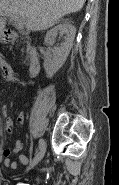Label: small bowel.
<instances>
[{
	"instance_id": "1",
	"label": "small bowel",
	"mask_w": 119,
	"mask_h": 185,
	"mask_svg": "<svg viewBox=\"0 0 119 185\" xmlns=\"http://www.w3.org/2000/svg\"><path fill=\"white\" fill-rule=\"evenodd\" d=\"M0 68L3 74V79L6 82H11V83H15V84H20L23 85L25 84L24 81H22L15 73L14 70L12 68V66L4 59L0 60ZM2 113L4 116V124H3V128L4 131L7 133L12 132L13 129V120L11 119V117L8 115V111H7V107L4 106L2 109ZM18 124H23L24 122V115L23 113H20L17 116L16 119ZM24 149V145L20 140H17L14 148L12 150L10 149H5L3 151V157H4V165L5 167L9 168V169H17L18 168V164L13 161L11 159V154L12 153H19V160L22 164H27L28 163V158L26 155L22 154V150ZM52 168L48 169L51 170Z\"/></svg>"
}]
</instances>
